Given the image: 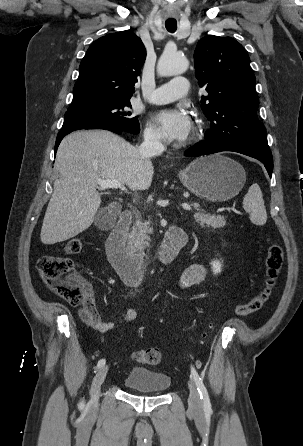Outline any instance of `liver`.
<instances>
[{"label": "liver", "mask_w": 303, "mask_h": 446, "mask_svg": "<svg viewBox=\"0 0 303 446\" xmlns=\"http://www.w3.org/2000/svg\"><path fill=\"white\" fill-rule=\"evenodd\" d=\"M3 0H0L2 5ZM54 182L41 229V241L51 245L73 238L94 221L101 204L98 180H117L132 191L146 190L154 167L138 148L109 131H77L60 143Z\"/></svg>", "instance_id": "1"}]
</instances>
